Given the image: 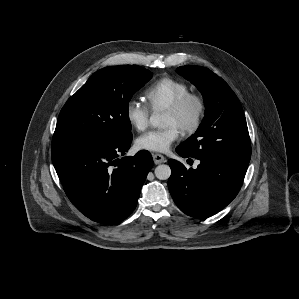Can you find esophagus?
Listing matches in <instances>:
<instances>
[{
  "mask_svg": "<svg viewBox=\"0 0 299 299\" xmlns=\"http://www.w3.org/2000/svg\"><path fill=\"white\" fill-rule=\"evenodd\" d=\"M153 160L155 164H161L166 162V158L161 154H153Z\"/></svg>",
  "mask_w": 299,
  "mask_h": 299,
  "instance_id": "34e87169",
  "label": "esophagus"
}]
</instances>
